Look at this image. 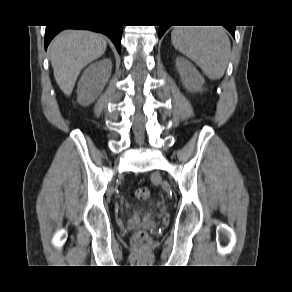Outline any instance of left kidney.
I'll list each match as a JSON object with an SVG mask.
<instances>
[{"label":"left kidney","instance_id":"5707ae66","mask_svg":"<svg viewBox=\"0 0 292 292\" xmlns=\"http://www.w3.org/2000/svg\"><path fill=\"white\" fill-rule=\"evenodd\" d=\"M176 68L180 74L183 86L188 91L198 92L203 90L204 79L188 60L177 57Z\"/></svg>","mask_w":292,"mask_h":292}]
</instances>
